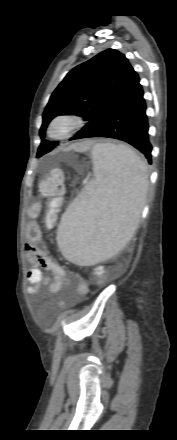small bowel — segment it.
<instances>
[{"label":"small bowel","instance_id":"small-bowel-1","mask_svg":"<svg viewBox=\"0 0 177 440\" xmlns=\"http://www.w3.org/2000/svg\"><path fill=\"white\" fill-rule=\"evenodd\" d=\"M28 214L32 218L27 230L30 244L26 246V258L30 264L27 271V279L30 283L28 292L35 294L37 289L43 286L47 293H57L68 285L69 278L64 268L58 264L41 245V232L38 219L43 214L42 203H33L28 209ZM41 268L49 270L52 273L53 281L42 272ZM75 289L76 293L80 296L86 295L89 291L88 284L82 280L77 282ZM46 305L47 304H45V306Z\"/></svg>","mask_w":177,"mask_h":440}]
</instances>
